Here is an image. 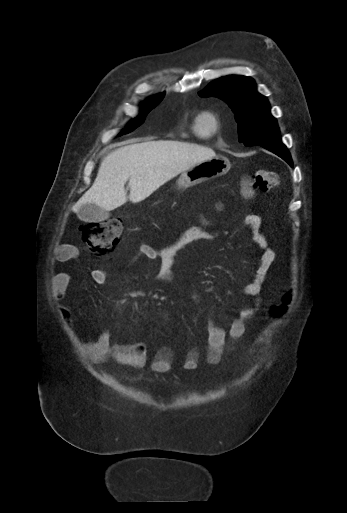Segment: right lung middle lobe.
Wrapping results in <instances>:
<instances>
[{
	"instance_id": "right-lung-middle-lobe-1",
	"label": "right lung middle lobe",
	"mask_w": 347,
	"mask_h": 513,
	"mask_svg": "<svg viewBox=\"0 0 347 513\" xmlns=\"http://www.w3.org/2000/svg\"><path fill=\"white\" fill-rule=\"evenodd\" d=\"M163 97H164V94H159L154 97H151L147 102H145L141 109L140 116H138L132 123H130L122 131V133L120 135L129 133V132L133 131L135 128H137L138 126H140L144 122L146 115L160 103V101L163 99Z\"/></svg>"
}]
</instances>
